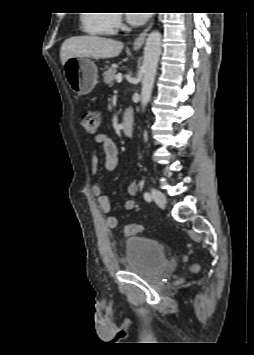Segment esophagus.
Here are the masks:
<instances>
[{"instance_id": "1", "label": "esophagus", "mask_w": 254, "mask_h": 355, "mask_svg": "<svg viewBox=\"0 0 254 355\" xmlns=\"http://www.w3.org/2000/svg\"><path fill=\"white\" fill-rule=\"evenodd\" d=\"M152 24L153 20L150 22L149 26L135 39V41L133 42V49L138 50L142 47L148 31L152 27Z\"/></svg>"}]
</instances>
